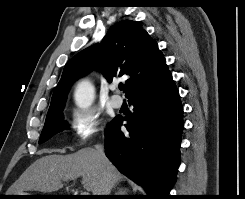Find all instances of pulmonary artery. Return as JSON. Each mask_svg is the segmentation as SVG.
Instances as JSON below:
<instances>
[{"mask_svg": "<svg viewBox=\"0 0 245 199\" xmlns=\"http://www.w3.org/2000/svg\"><path fill=\"white\" fill-rule=\"evenodd\" d=\"M111 90L113 92H116L117 91V85L113 84L111 86ZM110 102H111V105L116 109L120 108L123 105V99L117 94H113L111 96Z\"/></svg>", "mask_w": 245, "mask_h": 199, "instance_id": "e3ab8cb5", "label": "pulmonary artery"}]
</instances>
